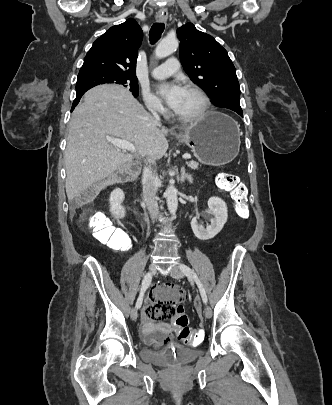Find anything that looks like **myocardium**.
<instances>
[{"label":"myocardium","instance_id":"myocardium-1","mask_svg":"<svg viewBox=\"0 0 332 405\" xmlns=\"http://www.w3.org/2000/svg\"><path fill=\"white\" fill-rule=\"evenodd\" d=\"M184 89L192 91L199 96V98L201 99V102H202L201 108L195 115H193L191 117L179 116L175 112L173 113V116L177 120L184 122V123L198 122V121L202 120L205 117V115L207 114V112L210 108V99H209L208 95L206 94V92L198 85L187 84V85H185Z\"/></svg>","mask_w":332,"mask_h":405}]
</instances>
